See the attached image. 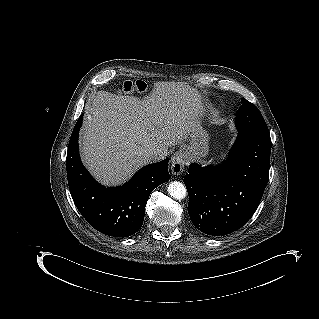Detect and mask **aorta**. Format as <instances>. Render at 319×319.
I'll use <instances>...</instances> for the list:
<instances>
[{
    "label": "aorta",
    "mask_w": 319,
    "mask_h": 319,
    "mask_svg": "<svg viewBox=\"0 0 319 319\" xmlns=\"http://www.w3.org/2000/svg\"><path fill=\"white\" fill-rule=\"evenodd\" d=\"M168 193L171 197L181 200L186 197V187L178 181H173L168 185Z\"/></svg>",
    "instance_id": "aorta-1"
}]
</instances>
